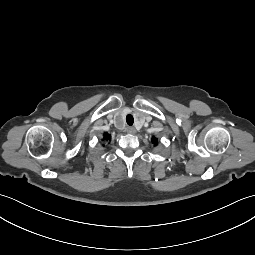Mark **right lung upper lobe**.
Wrapping results in <instances>:
<instances>
[{
	"mask_svg": "<svg viewBox=\"0 0 255 255\" xmlns=\"http://www.w3.org/2000/svg\"><path fill=\"white\" fill-rule=\"evenodd\" d=\"M111 138V136L107 133L104 134V140H109Z\"/></svg>",
	"mask_w": 255,
	"mask_h": 255,
	"instance_id": "obj_1",
	"label": "right lung upper lobe"
}]
</instances>
